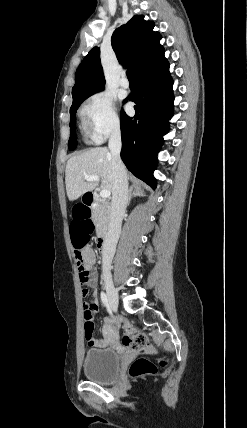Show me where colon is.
Wrapping results in <instances>:
<instances>
[{"instance_id":"1","label":"colon","mask_w":247,"mask_h":428,"mask_svg":"<svg viewBox=\"0 0 247 428\" xmlns=\"http://www.w3.org/2000/svg\"><path fill=\"white\" fill-rule=\"evenodd\" d=\"M70 227L69 232L70 245L74 247V255L77 261L79 270V278L81 284L86 287L91 278V270L89 265L85 262L82 255V247L86 246V239H92L94 224L93 218L89 217L90 206L89 204H70ZM87 289H84L86 294ZM125 336L123 344L125 347L132 350H145L149 347V340L146 334L141 332H134L131 323L124 319L119 318ZM84 333L87 342L92 341L94 333L93 312L92 308L84 304ZM165 361L161 365H165ZM157 370V366L145 358L136 359L129 368V375L136 378L142 375L153 374Z\"/></svg>"}]
</instances>
